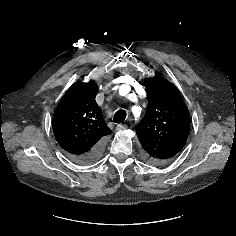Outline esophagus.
<instances>
[{
	"mask_svg": "<svg viewBox=\"0 0 236 236\" xmlns=\"http://www.w3.org/2000/svg\"><path fill=\"white\" fill-rule=\"evenodd\" d=\"M116 129H117V131L125 130V129H127V125L118 124Z\"/></svg>",
	"mask_w": 236,
	"mask_h": 236,
	"instance_id": "esophagus-1",
	"label": "esophagus"
}]
</instances>
